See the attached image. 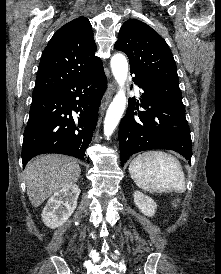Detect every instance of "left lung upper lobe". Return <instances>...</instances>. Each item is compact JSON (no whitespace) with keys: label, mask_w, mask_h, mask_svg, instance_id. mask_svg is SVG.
<instances>
[{"label":"left lung upper lobe","mask_w":221,"mask_h":274,"mask_svg":"<svg viewBox=\"0 0 221 274\" xmlns=\"http://www.w3.org/2000/svg\"><path fill=\"white\" fill-rule=\"evenodd\" d=\"M114 47L127 54L130 70L148 75L156 83L181 92L172 52L150 26L136 19L127 20L120 28Z\"/></svg>","instance_id":"1"}]
</instances>
